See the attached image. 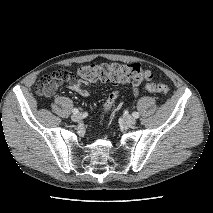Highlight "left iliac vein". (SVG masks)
<instances>
[{
	"label": "left iliac vein",
	"mask_w": 213,
	"mask_h": 213,
	"mask_svg": "<svg viewBox=\"0 0 213 213\" xmlns=\"http://www.w3.org/2000/svg\"><path fill=\"white\" fill-rule=\"evenodd\" d=\"M124 123L127 126H132V125H134L136 123V120L131 115H127V116L124 117Z\"/></svg>",
	"instance_id": "obj_1"
}]
</instances>
